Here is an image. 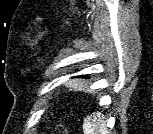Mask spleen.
<instances>
[{
    "label": "spleen",
    "instance_id": "1",
    "mask_svg": "<svg viewBox=\"0 0 153 134\" xmlns=\"http://www.w3.org/2000/svg\"><path fill=\"white\" fill-rule=\"evenodd\" d=\"M104 116L100 112L87 117L83 123L84 134H109Z\"/></svg>",
    "mask_w": 153,
    "mask_h": 134
}]
</instances>
